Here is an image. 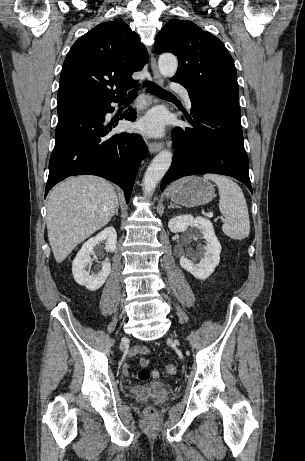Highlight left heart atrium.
<instances>
[{"label": "left heart atrium", "mask_w": 305, "mask_h": 461, "mask_svg": "<svg viewBox=\"0 0 305 461\" xmlns=\"http://www.w3.org/2000/svg\"><path fill=\"white\" fill-rule=\"evenodd\" d=\"M165 122L164 115L161 112L154 111L141 119L137 124V128L144 134L157 136L164 131Z\"/></svg>", "instance_id": "39dd6f15"}]
</instances>
